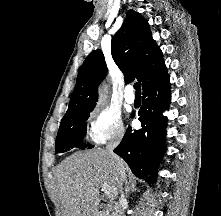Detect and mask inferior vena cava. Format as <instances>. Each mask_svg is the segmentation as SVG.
<instances>
[{
    "mask_svg": "<svg viewBox=\"0 0 221 216\" xmlns=\"http://www.w3.org/2000/svg\"><path fill=\"white\" fill-rule=\"evenodd\" d=\"M120 140H121V137H118L115 141L109 143L106 146V151L114 158V160L116 162V168H117L119 175H120V181H121V183H123L126 180V173L124 170V166H123V163L120 160V158L117 157L113 152L114 148L118 145ZM125 203H126V199H125L123 190L121 189L119 203L115 206L114 216H125V214H124Z\"/></svg>",
    "mask_w": 221,
    "mask_h": 216,
    "instance_id": "602c4592",
    "label": "inferior vena cava"
}]
</instances>
